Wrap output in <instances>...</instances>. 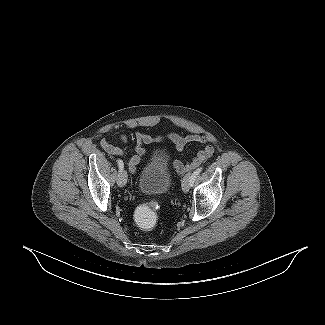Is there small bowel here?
I'll return each mask as SVG.
<instances>
[{
	"instance_id": "small-bowel-1",
	"label": "small bowel",
	"mask_w": 325,
	"mask_h": 325,
	"mask_svg": "<svg viewBox=\"0 0 325 325\" xmlns=\"http://www.w3.org/2000/svg\"><path fill=\"white\" fill-rule=\"evenodd\" d=\"M167 138L170 141H172L176 145V147L181 151L184 150L185 146L189 143L204 144V147L197 153L196 157L191 162L186 163L185 165L179 161H175L173 163V166L180 172L197 167L200 163L207 160L213 154L212 146L206 144L207 142L206 138L202 135L194 134L183 138L176 134H170L168 135ZM121 139L123 142H126L128 139L127 135L122 134ZM135 140H136V148H135L136 153L128 157V159L126 160V164L129 170L131 171V173H135L136 166L144 160L147 154L146 149L144 148L143 145L155 142L157 138L152 137L143 132H137L135 135ZM101 147L107 154L111 156H117L122 154L121 149L109 140L103 139L101 141Z\"/></svg>"
}]
</instances>
